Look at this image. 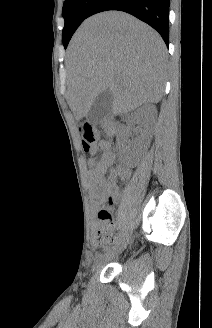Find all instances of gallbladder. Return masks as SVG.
<instances>
[{
  "mask_svg": "<svg viewBox=\"0 0 212 328\" xmlns=\"http://www.w3.org/2000/svg\"><path fill=\"white\" fill-rule=\"evenodd\" d=\"M112 105V93L109 90L100 93L95 98L91 108L86 115L88 122L93 125L100 123L104 118L111 114Z\"/></svg>",
  "mask_w": 212,
  "mask_h": 328,
  "instance_id": "1",
  "label": "gallbladder"
}]
</instances>
